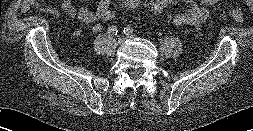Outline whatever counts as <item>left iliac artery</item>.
<instances>
[{"instance_id": "1", "label": "left iliac artery", "mask_w": 253, "mask_h": 131, "mask_svg": "<svg viewBox=\"0 0 253 131\" xmlns=\"http://www.w3.org/2000/svg\"><path fill=\"white\" fill-rule=\"evenodd\" d=\"M123 32H124L126 35H130V34H133L134 29H133L131 26H126V27L124 28Z\"/></svg>"}]
</instances>
